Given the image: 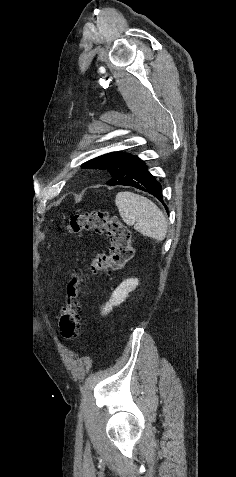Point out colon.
Listing matches in <instances>:
<instances>
[{"mask_svg":"<svg viewBox=\"0 0 236 477\" xmlns=\"http://www.w3.org/2000/svg\"><path fill=\"white\" fill-rule=\"evenodd\" d=\"M68 229L73 234L98 233L109 241L110 253L97 254L89 263V271L93 274L121 269L134 255L131 231L107 212L76 213L70 218ZM81 282V274L75 273L67 285L66 305L59 320L60 333L66 340H72L78 332Z\"/></svg>","mask_w":236,"mask_h":477,"instance_id":"obj_1","label":"colon"}]
</instances>
